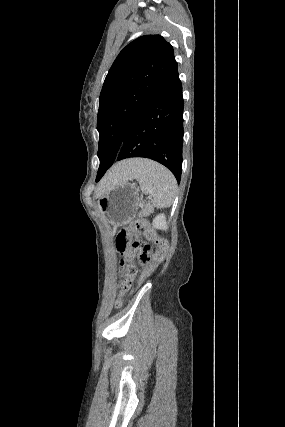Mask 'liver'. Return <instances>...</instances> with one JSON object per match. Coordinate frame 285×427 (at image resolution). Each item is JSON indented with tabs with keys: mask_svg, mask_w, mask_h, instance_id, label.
I'll return each mask as SVG.
<instances>
[{
	"mask_svg": "<svg viewBox=\"0 0 285 427\" xmlns=\"http://www.w3.org/2000/svg\"><path fill=\"white\" fill-rule=\"evenodd\" d=\"M142 163L143 159H130L114 165L103 177L98 187V193L101 195L114 185L133 179Z\"/></svg>",
	"mask_w": 285,
	"mask_h": 427,
	"instance_id": "1",
	"label": "liver"
}]
</instances>
